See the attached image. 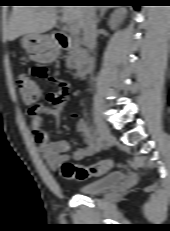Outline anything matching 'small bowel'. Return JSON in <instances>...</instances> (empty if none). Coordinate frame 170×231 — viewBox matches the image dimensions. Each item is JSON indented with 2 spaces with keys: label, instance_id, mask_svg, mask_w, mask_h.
<instances>
[{
  "label": "small bowel",
  "instance_id": "c3829d8e",
  "mask_svg": "<svg viewBox=\"0 0 170 231\" xmlns=\"http://www.w3.org/2000/svg\"><path fill=\"white\" fill-rule=\"evenodd\" d=\"M31 77L37 80L54 81L58 83V90L48 95L50 106L41 105L36 109H30L28 112L32 133L38 144L39 153L46 164L51 169H56L59 168L62 163L70 159L79 161L99 151L100 145L93 137L84 119L77 120L76 129L83 137L85 146L77 148L72 155L68 154L69 144L66 141H51L49 139L48 133L41 128L43 114L53 116L56 126H60L61 113L66 105L67 87L62 80L52 77L47 68L42 65H35L32 67Z\"/></svg>",
  "mask_w": 170,
  "mask_h": 231
}]
</instances>
